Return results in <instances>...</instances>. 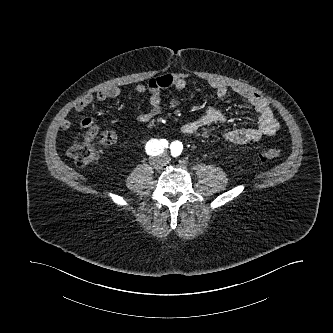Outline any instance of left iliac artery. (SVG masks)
<instances>
[{
  "label": "left iliac artery",
  "instance_id": "1",
  "mask_svg": "<svg viewBox=\"0 0 333 333\" xmlns=\"http://www.w3.org/2000/svg\"><path fill=\"white\" fill-rule=\"evenodd\" d=\"M170 149L173 157L179 156L180 153L182 152V146H180V144H177L175 142L171 144Z\"/></svg>",
  "mask_w": 333,
  "mask_h": 333
}]
</instances>
